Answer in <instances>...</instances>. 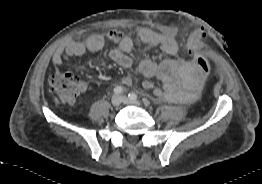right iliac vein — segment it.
<instances>
[{"mask_svg":"<svg viewBox=\"0 0 262 184\" xmlns=\"http://www.w3.org/2000/svg\"><path fill=\"white\" fill-rule=\"evenodd\" d=\"M121 102H122V99L119 95L115 94V95L112 96V98H111L112 106L118 107L121 104Z\"/></svg>","mask_w":262,"mask_h":184,"instance_id":"63e3f726","label":"right iliac vein"}]
</instances>
